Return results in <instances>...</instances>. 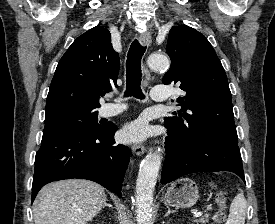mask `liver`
Segmentation results:
<instances>
[{"mask_svg": "<svg viewBox=\"0 0 275 224\" xmlns=\"http://www.w3.org/2000/svg\"><path fill=\"white\" fill-rule=\"evenodd\" d=\"M104 189L91 181L69 179L50 183L33 204L35 224H87L106 204Z\"/></svg>", "mask_w": 275, "mask_h": 224, "instance_id": "6515ba94", "label": "liver"}]
</instances>
